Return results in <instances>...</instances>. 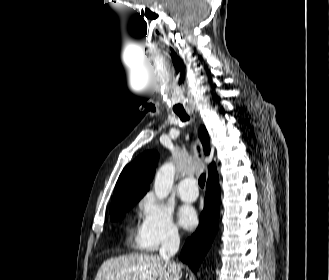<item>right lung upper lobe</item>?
<instances>
[{
    "instance_id": "cb5924a9",
    "label": "right lung upper lobe",
    "mask_w": 329,
    "mask_h": 280,
    "mask_svg": "<svg viewBox=\"0 0 329 280\" xmlns=\"http://www.w3.org/2000/svg\"><path fill=\"white\" fill-rule=\"evenodd\" d=\"M199 137L204 153L209 154V136L205 127L200 128ZM157 160L158 153L156 151H146L123 169L115 186L111 208L124 200H140L146 194L154 176ZM215 172L216 167L212 163L209 166L208 177Z\"/></svg>"
}]
</instances>
